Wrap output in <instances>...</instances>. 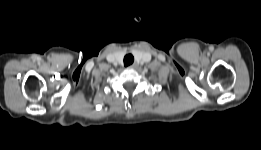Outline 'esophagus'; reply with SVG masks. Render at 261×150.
<instances>
[{"instance_id":"34e87169","label":"esophagus","mask_w":261,"mask_h":150,"mask_svg":"<svg viewBox=\"0 0 261 150\" xmlns=\"http://www.w3.org/2000/svg\"><path fill=\"white\" fill-rule=\"evenodd\" d=\"M135 67H136L135 63L129 66V68H135Z\"/></svg>"}]
</instances>
